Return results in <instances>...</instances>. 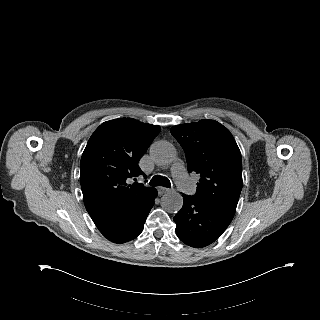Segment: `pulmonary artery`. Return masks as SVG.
<instances>
[{
	"label": "pulmonary artery",
	"mask_w": 320,
	"mask_h": 320,
	"mask_svg": "<svg viewBox=\"0 0 320 320\" xmlns=\"http://www.w3.org/2000/svg\"><path fill=\"white\" fill-rule=\"evenodd\" d=\"M171 172L178 186H187L189 190L193 189V184L187 175L184 163L182 161H176L171 168Z\"/></svg>",
	"instance_id": "e3ab8cb5"
}]
</instances>
